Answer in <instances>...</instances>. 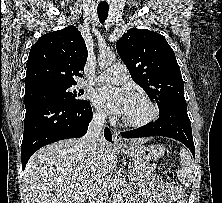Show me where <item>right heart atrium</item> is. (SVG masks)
I'll return each instance as SVG.
<instances>
[{"mask_svg": "<svg viewBox=\"0 0 222 203\" xmlns=\"http://www.w3.org/2000/svg\"><path fill=\"white\" fill-rule=\"evenodd\" d=\"M94 116L97 120H103L105 118V114L101 111H97Z\"/></svg>", "mask_w": 222, "mask_h": 203, "instance_id": "obj_1", "label": "right heart atrium"}]
</instances>
